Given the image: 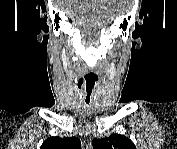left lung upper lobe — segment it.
<instances>
[{
  "label": "left lung upper lobe",
  "mask_w": 177,
  "mask_h": 149,
  "mask_svg": "<svg viewBox=\"0 0 177 149\" xmlns=\"http://www.w3.org/2000/svg\"><path fill=\"white\" fill-rule=\"evenodd\" d=\"M92 143L94 149H135L129 138L116 133L102 139H94Z\"/></svg>",
  "instance_id": "5c2ea615"
}]
</instances>
